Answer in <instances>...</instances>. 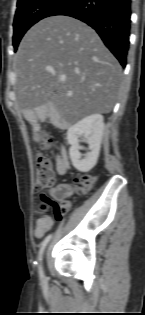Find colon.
Wrapping results in <instances>:
<instances>
[{
	"mask_svg": "<svg viewBox=\"0 0 145 315\" xmlns=\"http://www.w3.org/2000/svg\"><path fill=\"white\" fill-rule=\"evenodd\" d=\"M51 145V140L44 138L42 141V148L48 149ZM36 170H37V187L44 188L51 185L54 181V174L52 170V163L50 159L44 153H38L36 155ZM94 182V177L91 175H84L75 179V186L81 191L88 190ZM44 201L48 204L47 199ZM70 203L68 201H62L60 204L55 205L56 215H61L68 210Z\"/></svg>",
	"mask_w": 145,
	"mask_h": 315,
	"instance_id": "colon-1",
	"label": "colon"
}]
</instances>
